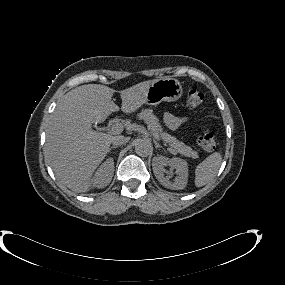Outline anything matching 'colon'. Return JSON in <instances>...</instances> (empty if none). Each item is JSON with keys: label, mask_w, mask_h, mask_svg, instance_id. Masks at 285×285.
<instances>
[{"label": "colon", "mask_w": 285, "mask_h": 285, "mask_svg": "<svg viewBox=\"0 0 285 285\" xmlns=\"http://www.w3.org/2000/svg\"><path fill=\"white\" fill-rule=\"evenodd\" d=\"M204 100V95L202 92L196 89H191L187 93L186 103L191 109L199 107ZM199 145L208 152H212L216 148V139L213 134L205 132L201 134L198 138Z\"/></svg>", "instance_id": "obj_1"}]
</instances>
